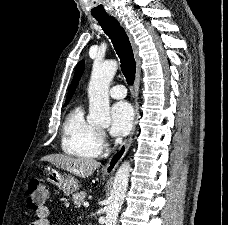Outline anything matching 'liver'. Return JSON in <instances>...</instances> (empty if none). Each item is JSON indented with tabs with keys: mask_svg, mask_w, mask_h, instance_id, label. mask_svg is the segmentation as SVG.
Here are the masks:
<instances>
[{
	"mask_svg": "<svg viewBox=\"0 0 228 225\" xmlns=\"http://www.w3.org/2000/svg\"><path fill=\"white\" fill-rule=\"evenodd\" d=\"M41 161H48L51 165H55L58 169L69 171L76 177L87 179L91 177L96 169H99L101 163L97 161H88V159H74V157H65V155H47L42 157Z\"/></svg>",
	"mask_w": 228,
	"mask_h": 225,
	"instance_id": "6515ba94",
	"label": "liver"
}]
</instances>
